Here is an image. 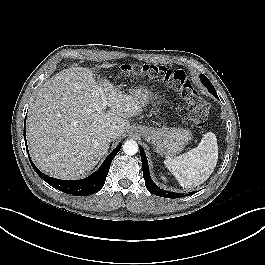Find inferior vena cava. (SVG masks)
Instances as JSON below:
<instances>
[{
  "label": "inferior vena cava",
  "mask_w": 265,
  "mask_h": 265,
  "mask_svg": "<svg viewBox=\"0 0 265 265\" xmlns=\"http://www.w3.org/2000/svg\"><path fill=\"white\" fill-rule=\"evenodd\" d=\"M106 136L110 139H115L117 137V132L114 129L107 131Z\"/></svg>",
  "instance_id": "602c4592"
}]
</instances>
